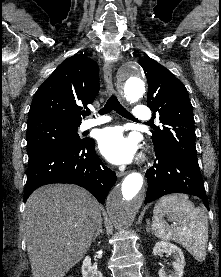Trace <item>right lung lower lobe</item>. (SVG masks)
Listing matches in <instances>:
<instances>
[{
  "label": "right lung lower lobe",
  "mask_w": 221,
  "mask_h": 277,
  "mask_svg": "<svg viewBox=\"0 0 221 277\" xmlns=\"http://www.w3.org/2000/svg\"><path fill=\"white\" fill-rule=\"evenodd\" d=\"M93 139L68 148L41 153L28 161L24 202L37 188L52 183H73L91 192L100 203L116 182L94 151Z\"/></svg>",
  "instance_id": "1"
}]
</instances>
